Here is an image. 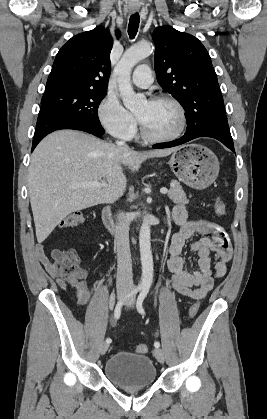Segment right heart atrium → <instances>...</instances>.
Instances as JSON below:
<instances>
[{
  "label": "right heart atrium",
  "mask_w": 267,
  "mask_h": 419,
  "mask_svg": "<svg viewBox=\"0 0 267 419\" xmlns=\"http://www.w3.org/2000/svg\"><path fill=\"white\" fill-rule=\"evenodd\" d=\"M98 117L103 128L114 137L128 139L135 133L134 117L114 96L107 95L101 101Z\"/></svg>",
  "instance_id": "right-heart-atrium-1"
}]
</instances>
